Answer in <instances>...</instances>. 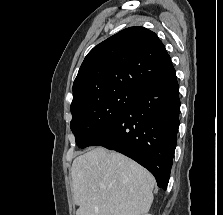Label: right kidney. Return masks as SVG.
<instances>
[{"label":"right kidney","mask_w":223,"mask_h":215,"mask_svg":"<svg viewBox=\"0 0 223 215\" xmlns=\"http://www.w3.org/2000/svg\"><path fill=\"white\" fill-rule=\"evenodd\" d=\"M144 215H151V213H144Z\"/></svg>","instance_id":"ca27d5eb"}]
</instances>
